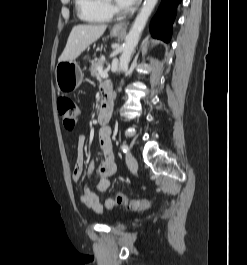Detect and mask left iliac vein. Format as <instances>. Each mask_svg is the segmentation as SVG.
Masks as SVG:
<instances>
[{"label":"left iliac vein","instance_id":"1","mask_svg":"<svg viewBox=\"0 0 247 265\" xmlns=\"http://www.w3.org/2000/svg\"><path fill=\"white\" fill-rule=\"evenodd\" d=\"M125 159H126V164L130 169L132 170L137 169V161L129 152H126Z\"/></svg>","mask_w":247,"mask_h":265}]
</instances>
